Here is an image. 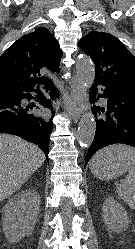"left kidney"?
<instances>
[{
  "label": "left kidney",
  "instance_id": "obj_1",
  "mask_svg": "<svg viewBox=\"0 0 135 249\" xmlns=\"http://www.w3.org/2000/svg\"><path fill=\"white\" fill-rule=\"evenodd\" d=\"M102 217L109 230L120 232L129 224V218L124 207L114 198L105 200L102 208Z\"/></svg>",
  "mask_w": 135,
  "mask_h": 249
}]
</instances>
